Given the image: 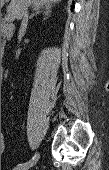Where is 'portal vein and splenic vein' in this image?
<instances>
[{"instance_id": "obj_1", "label": "portal vein and splenic vein", "mask_w": 109, "mask_h": 170, "mask_svg": "<svg viewBox=\"0 0 109 170\" xmlns=\"http://www.w3.org/2000/svg\"><path fill=\"white\" fill-rule=\"evenodd\" d=\"M14 18H15V17H14V15H13V13L10 12V11H7V15L5 16V20L8 21V22H10V21H13Z\"/></svg>"}]
</instances>
